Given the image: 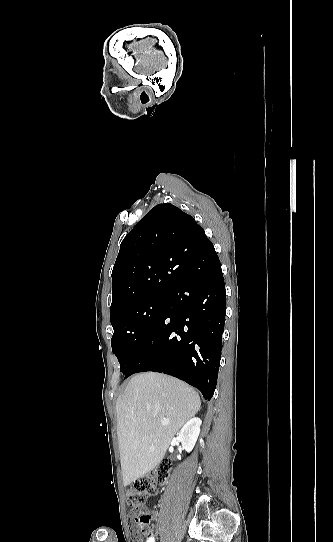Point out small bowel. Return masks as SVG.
Listing matches in <instances>:
<instances>
[{
	"instance_id": "1",
	"label": "small bowel",
	"mask_w": 333,
	"mask_h": 542,
	"mask_svg": "<svg viewBox=\"0 0 333 542\" xmlns=\"http://www.w3.org/2000/svg\"><path fill=\"white\" fill-rule=\"evenodd\" d=\"M158 535H159V530L158 529H153L151 535H149V536H151V538L154 539Z\"/></svg>"
}]
</instances>
